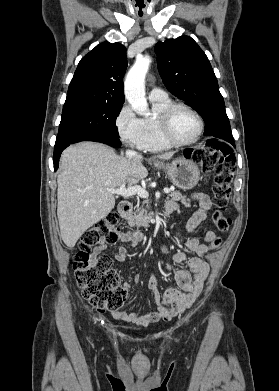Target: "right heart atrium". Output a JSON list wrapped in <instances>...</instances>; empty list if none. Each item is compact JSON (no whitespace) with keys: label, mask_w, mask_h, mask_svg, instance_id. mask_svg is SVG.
Listing matches in <instances>:
<instances>
[{"label":"right heart atrium","mask_w":279,"mask_h":391,"mask_svg":"<svg viewBox=\"0 0 279 391\" xmlns=\"http://www.w3.org/2000/svg\"><path fill=\"white\" fill-rule=\"evenodd\" d=\"M114 125L120 140L126 145L141 148L143 127L140 119L133 109L124 104L118 111Z\"/></svg>","instance_id":"d8ad5b80"}]
</instances>
